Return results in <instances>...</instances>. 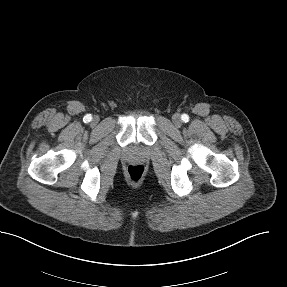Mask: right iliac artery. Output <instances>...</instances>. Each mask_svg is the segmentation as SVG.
Wrapping results in <instances>:
<instances>
[{"mask_svg":"<svg viewBox=\"0 0 287 287\" xmlns=\"http://www.w3.org/2000/svg\"><path fill=\"white\" fill-rule=\"evenodd\" d=\"M83 120L85 123H89L92 120L91 114H87L86 116H84Z\"/></svg>","mask_w":287,"mask_h":287,"instance_id":"82829eb1","label":"right iliac artery"}]
</instances>
